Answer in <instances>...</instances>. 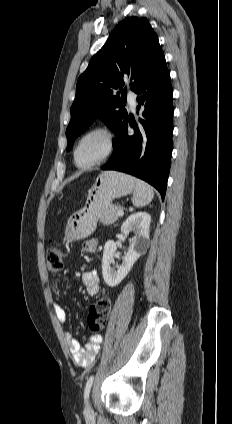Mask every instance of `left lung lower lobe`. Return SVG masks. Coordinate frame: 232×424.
I'll list each match as a JSON object with an SVG mask.
<instances>
[{"label":"left lung lower lobe","mask_w":232,"mask_h":424,"mask_svg":"<svg viewBox=\"0 0 232 424\" xmlns=\"http://www.w3.org/2000/svg\"><path fill=\"white\" fill-rule=\"evenodd\" d=\"M141 113L139 124L126 118L113 154L103 170H117L136 176L154 186L165 197L170 170L173 133V90L165 58L135 91ZM128 123L135 130L130 136Z\"/></svg>","instance_id":"left-lung-lower-lobe-1"}]
</instances>
